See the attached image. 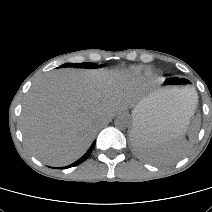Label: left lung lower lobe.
<instances>
[{
  "mask_svg": "<svg viewBox=\"0 0 212 212\" xmlns=\"http://www.w3.org/2000/svg\"><path fill=\"white\" fill-rule=\"evenodd\" d=\"M140 133L141 131L140 130H135L132 134V143L134 145V147L137 149V151H142V153H144L147 157L149 156V153L152 151V149L150 150H143V148H140Z\"/></svg>",
  "mask_w": 212,
  "mask_h": 212,
  "instance_id": "0a47b994",
  "label": "left lung lower lobe"
}]
</instances>
